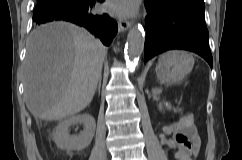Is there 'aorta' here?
<instances>
[{
	"instance_id": "762f6f07",
	"label": "aorta",
	"mask_w": 242,
	"mask_h": 160,
	"mask_svg": "<svg viewBox=\"0 0 242 160\" xmlns=\"http://www.w3.org/2000/svg\"><path fill=\"white\" fill-rule=\"evenodd\" d=\"M145 32L141 25L134 26L128 33L125 55L128 61L138 60L144 48Z\"/></svg>"
}]
</instances>
